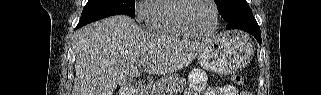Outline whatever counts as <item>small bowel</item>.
I'll return each mask as SVG.
<instances>
[{"label": "small bowel", "mask_w": 321, "mask_h": 95, "mask_svg": "<svg viewBox=\"0 0 321 95\" xmlns=\"http://www.w3.org/2000/svg\"><path fill=\"white\" fill-rule=\"evenodd\" d=\"M206 95H238L237 90L231 85L221 87H210L206 90ZM188 95H193L189 93Z\"/></svg>", "instance_id": "1"}]
</instances>
